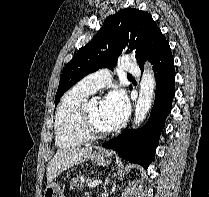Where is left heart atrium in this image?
Returning a JSON list of instances; mask_svg holds the SVG:
<instances>
[{"label":"left heart atrium","instance_id":"left-heart-atrium-1","mask_svg":"<svg viewBox=\"0 0 209 197\" xmlns=\"http://www.w3.org/2000/svg\"><path fill=\"white\" fill-rule=\"evenodd\" d=\"M101 113L110 128L120 126L129 113V101L123 90L108 93L101 106Z\"/></svg>","mask_w":209,"mask_h":197}]
</instances>
